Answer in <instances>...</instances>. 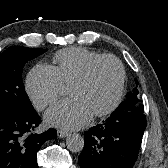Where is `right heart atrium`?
I'll return each instance as SVG.
<instances>
[{
  "instance_id": "1",
  "label": "right heart atrium",
  "mask_w": 168,
  "mask_h": 168,
  "mask_svg": "<svg viewBox=\"0 0 168 168\" xmlns=\"http://www.w3.org/2000/svg\"><path fill=\"white\" fill-rule=\"evenodd\" d=\"M25 89L34 106L43 110L59 98L64 84L53 66L38 64L29 71Z\"/></svg>"
}]
</instances>
